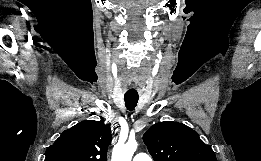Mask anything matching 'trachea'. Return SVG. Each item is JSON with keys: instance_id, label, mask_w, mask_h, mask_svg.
Returning a JSON list of instances; mask_svg holds the SVG:
<instances>
[{"instance_id": "obj_1", "label": "trachea", "mask_w": 261, "mask_h": 161, "mask_svg": "<svg viewBox=\"0 0 261 161\" xmlns=\"http://www.w3.org/2000/svg\"><path fill=\"white\" fill-rule=\"evenodd\" d=\"M139 96L125 95V105L128 110L132 111L138 103Z\"/></svg>"}]
</instances>
